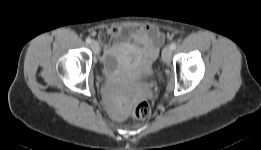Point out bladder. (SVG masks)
Masks as SVG:
<instances>
[{
    "instance_id": "1",
    "label": "bladder",
    "mask_w": 261,
    "mask_h": 150,
    "mask_svg": "<svg viewBox=\"0 0 261 150\" xmlns=\"http://www.w3.org/2000/svg\"><path fill=\"white\" fill-rule=\"evenodd\" d=\"M126 47L122 45L106 49L102 57V70L105 74L115 72L121 68L123 54Z\"/></svg>"
}]
</instances>
